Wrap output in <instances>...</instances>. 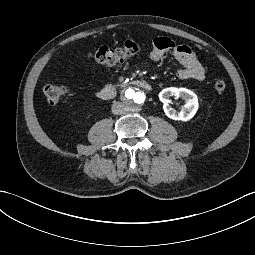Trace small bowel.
Wrapping results in <instances>:
<instances>
[{
    "mask_svg": "<svg viewBox=\"0 0 255 255\" xmlns=\"http://www.w3.org/2000/svg\"><path fill=\"white\" fill-rule=\"evenodd\" d=\"M171 55L172 58L182 65V69L177 72L179 79H194L201 81L205 78V69L198 60L192 49L186 45H176L167 37H157L153 41V49L150 59L158 62Z\"/></svg>",
    "mask_w": 255,
    "mask_h": 255,
    "instance_id": "obj_1",
    "label": "small bowel"
}]
</instances>
